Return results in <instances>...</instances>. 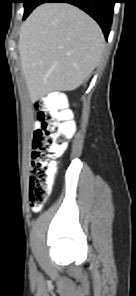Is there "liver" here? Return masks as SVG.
Wrapping results in <instances>:
<instances>
[{
    "label": "liver",
    "instance_id": "6515ba94",
    "mask_svg": "<svg viewBox=\"0 0 136 296\" xmlns=\"http://www.w3.org/2000/svg\"><path fill=\"white\" fill-rule=\"evenodd\" d=\"M105 46L99 25L67 3L36 7L20 31L21 70L32 101L79 87L98 65Z\"/></svg>",
    "mask_w": 136,
    "mask_h": 296
}]
</instances>
